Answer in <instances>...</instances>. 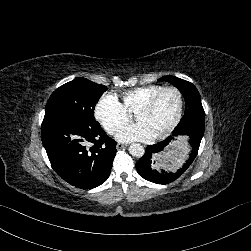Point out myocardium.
I'll return each instance as SVG.
<instances>
[{"label": "myocardium", "instance_id": "obj_1", "mask_svg": "<svg viewBox=\"0 0 251 251\" xmlns=\"http://www.w3.org/2000/svg\"><path fill=\"white\" fill-rule=\"evenodd\" d=\"M168 92H175L178 94L179 103H180L179 104V111H178V115H177L176 119L170 125L161 129L158 132L159 136H165L167 134L172 133L181 124L183 117H184V111H185V97H184L182 90H180L177 87H165L161 91H159L157 94H155L153 97H151L148 101H146L145 103H143L142 105H140L138 107V109H152L157 104V102L160 100V98Z\"/></svg>", "mask_w": 251, "mask_h": 251}]
</instances>
